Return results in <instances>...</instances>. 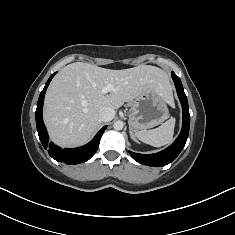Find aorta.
Instances as JSON below:
<instances>
[{"instance_id":"1","label":"aorta","mask_w":235,"mask_h":235,"mask_svg":"<svg viewBox=\"0 0 235 235\" xmlns=\"http://www.w3.org/2000/svg\"><path fill=\"white\" fill-rule=\"evenodd\" d=\"M123 126H124V124H123V122L120 121V120L116 121V122L114 123V125H113V127H114L115 130H122V129H123Z\"/></svg>"}]
</instances>
